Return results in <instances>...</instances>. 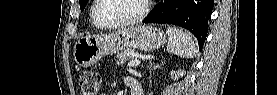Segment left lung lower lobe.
I'll return each instance as SVG.
<instances>
[{"instance_id":"left-lung-lower-lobe-1","label":"left lung lower lobe","mask_w":277,"mask_h":95,"mask_svg":"<svg viewBox=\"0 0 277 95\" xmlns=\"http://www.w3.org/2000/svg\"><path fill=\"white\" fill-rule=\"evenodd\" d=\"M213 4L214 0H163L143 22L168 23L184 27L195 35L202 50Z\"/></svg>"}]
</instances>
